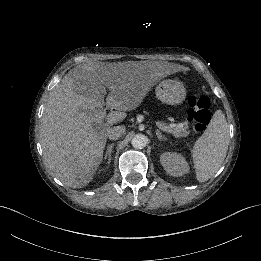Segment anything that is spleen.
<instances>
[{
  "label": "spleen",
  "mask_w": 261,
  "mask_h": 261,
  "mask_svg": "<svg viewBox=\"0 0 261 261\" xmlns=\"http://www.w3.org/2000/svg\"><path fill=\"white\" fill-rule=\"evenodd\" d=\"M228 143L229 126L223 110L217 109L192 151L193 168L199 183L208 181L220 169L226 158Z\"/></svg>",
  "instance_id": "3e777b00"
}]
</instances>
